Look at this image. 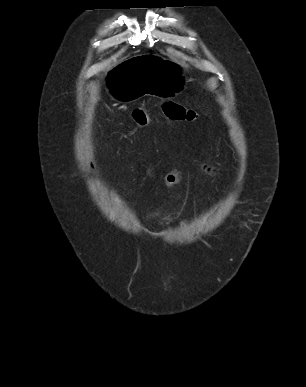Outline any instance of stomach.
Here are the masks:
<instances>
[{"instance_id":"1","label":"stomach","mask_w":306,"mask_h":387,"mask_svg":"<svg viewBox=\"0 0 306 387\" xmlns=\"http://www.w3.org/2000/svg\"><path fill=\"white\" fill-rule=\"evenodd\" d=\"M140 52L114 70L104 71L112 98L131 102L139 95H152L153 99L179 95L185 83L180 65L153 55L154 46H141Z\"/></svg>"}]
</instances>
